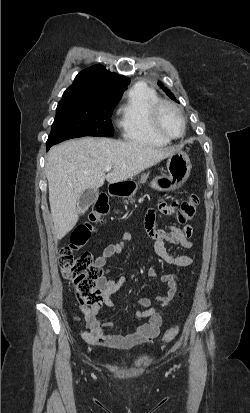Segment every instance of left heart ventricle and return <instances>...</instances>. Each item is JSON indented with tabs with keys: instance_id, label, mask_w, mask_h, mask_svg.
<instances>
[{
	"instance_id": "left-heart-ventricle-1",
	"label": "left heart ventricle",
	"mask_w": 250,
	"mask_h": 413,
	"mask_svg": "<svg viewBox=\"0 0 250 413\" xmlns=\"http://www.w3.org/2000/svg\"><path fill=\"white\" fill-rule=\"evenodd\" d=\"M160 125L166 133L172 136H177L182 131V121L180 117L170 108H164L162 110L160 115Z\"/></svg>"
}]
</instances>
